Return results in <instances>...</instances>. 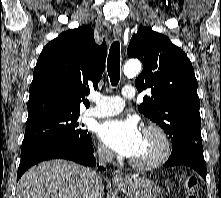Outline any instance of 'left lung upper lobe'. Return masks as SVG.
I'll return each mask as SVG.
<instances>
[{
    "instance_id": "left-lung-upper-lobe-1",
    "label": "left lung upper lobe",
    "mask_w": 221,
    "mask_h": 198,
    "mask_svg": "<svg viewBox=\"0 0 221 198\" xmlns=\"http://www.w3.org/2000/svg\"><path fill=\"white\" fill-rule=\"evenodd\" d=\"M143 63L135 80L139 92L150 89L139 111L169 135L173 150L202 148L197 80L189 58L170 39L150 28H140L127 49Z\"/></svg>"
}]
</instances>
